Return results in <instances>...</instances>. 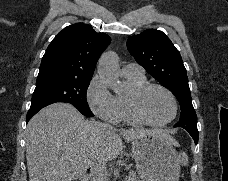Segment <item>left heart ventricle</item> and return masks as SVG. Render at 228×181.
I'll use <instances>...</instances> for the list:
<instances>
[{"label": "left heart ventricle", "instance_id": "obj_1", "mask_svg": "<svg viewBox=\"0 0 228 181\" xmlns=\"http://www.w3.org/2000/svg\"><path fill=\"white\" fill-rule=\"evenodd\" d=\"M142 109L146 117L156 121L166 119L171 112L168 97L158 89H153L146 95Z\"/></svg>", "mask_w": 228, "mask_h": 181}]
</instances>
